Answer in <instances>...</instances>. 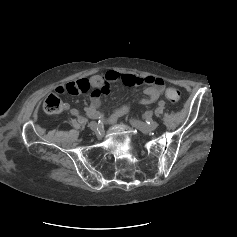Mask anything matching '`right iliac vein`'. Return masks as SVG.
Returning <instances> with one entry per match:
<instances>
[{
    "label": "right iliac vein",
    "mask_w": 237,
    "mask_h": 237,
    "mask_svg": "<svg viewBox=\"0 0 237 237\" xmlns=\"http://www.w3.org/2000/svg\"><path fill=\"white\" fill-rule=\"evenodd\" d=\"M89 128L92 130V131H96L98 129V124L96 122H90L88 124Z\"/></svg>",
    "instance_id": "right-iliac-vein-1"
}]
</instances>
